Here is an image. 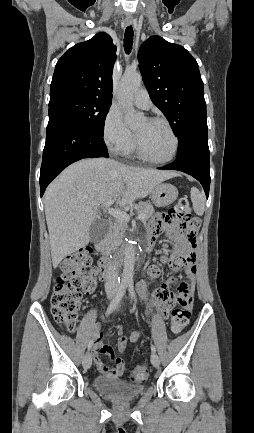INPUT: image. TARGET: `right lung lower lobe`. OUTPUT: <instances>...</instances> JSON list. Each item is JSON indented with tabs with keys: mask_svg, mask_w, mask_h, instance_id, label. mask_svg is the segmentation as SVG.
Instances as JSON below:
<instances>
[{
	"mask_svg": "<svg viewBox=\"0 0 254 433\" xmlns=\"http://www.w3.org/2000/svg\"><path fill=\"white\" fill-rule=\"evenodd\" d=\"M108 158L103 135L62 116L49 117L40 170L41 196L68 165L84 158Z\"/></svg>",
	"mask_w": 254,
	"mask_h": 433,
	"instance_id": "1",
	"label": "right lung lower lobe"
}]
</instances>
